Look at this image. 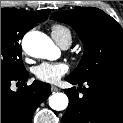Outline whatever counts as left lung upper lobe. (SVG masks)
Wrapping results in <instances>:
<instances>
[{"label":"left lung upper lobe","instance_id":"obj_1","mask_svg":"<svg viewBox=\"0 0 123 123\" xmlns=\"http://www.w3.org/2000/svg\"><path fill=\"white\" fill-rule=\"evenodd\" d=\"M51 19L70 25L84 44V55L69 75L86 80L108 72H123V28L97 8L54 13Z\"/></svg>","mask_w":123,"mask_h":123}]
</instances>
